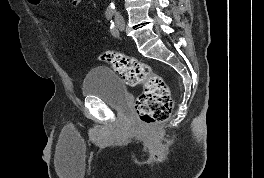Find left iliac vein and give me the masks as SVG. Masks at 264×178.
<instances>
[{
    "label": "left iliac vein",
    "instance_id": "left-iliac-vein-1",
    "mask_svg": "<svg viewBox=\"0 0 264 178\" xmlns=\"http://www.w3.org/2000/svg\"><path fill=\"white\" fill-rule=\"evenodd\" d=\"M115 22H116V26L117 28L122 31L124 30V27H125V22H124V19L122 16H117L116 19H115Z\"/></svg>",
    "mask_w": 264,
    "mask_h": 178
}]
</instances>
